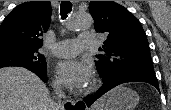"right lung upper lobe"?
Segmentation results:
<instances>
[{
    "mask_svg": "<svg viewBox=\"0 0 171 110\" xmlns=\"http://www.w3.org/2000/svg\"><path fill=\"white\" fill-rule=\"evenodd\" d=\"M51 12L50 1L18 5L0 25V44L40 49L43 44L41 36L48 30Z\"/></svg>",
    "mask_w": 171,
    "mask_h": 110,
    "instance_id": "right-lung-upper-lobe-1",
    "label": "right lung upper lobe"
}]
</instances>
